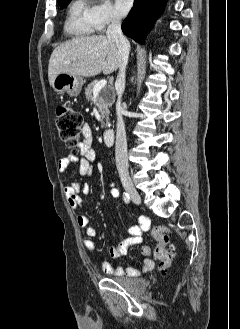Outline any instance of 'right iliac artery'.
<instances>
[{
	"mask_svg": "<svg viewBox=\"0 0 240 329\" xmlns=\"http://www.w3.org/2000/svg\"><path fill=\"white\" fill-rule=\"evenodd\" d=\"M123 200L125 201V203L130 202V196L128 193H123Z\"/></svg>",
	"mask_w": 240,
	"mask_h": 329,
	"instance_id": "obj_1",
	"label": "right iliac artery"
}]
</instances>
